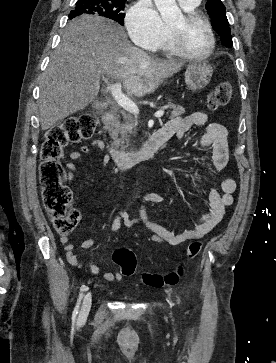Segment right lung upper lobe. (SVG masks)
Segmentation results:
<instances>
[{
	"label": "right lung upper lobe",
	"mask_w": 276,
	"mask_h": 363,
	"mask_svg": "<svg viewBox=\"0 0 276 363\" xmlns=\"http://www.w3.org/2000/svg\"><path fill=\"white\" fill-rule=\"evenodd\" d=\"M114 1H127V0H114Z\"/></svg>",
	"instance_id": "cb5924a9"
}]
</instances>
